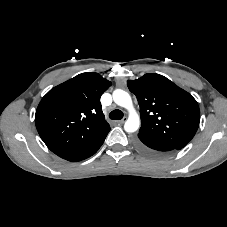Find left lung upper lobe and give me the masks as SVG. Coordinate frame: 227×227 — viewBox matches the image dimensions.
Returning <instances> with one entry per match:
<instances>
[{
    "label": "left lung upper lobe",
    "instance_id": "left-lung-upper-lobe-1",
    "mask_svg": "<svg viewBox=\"0 0 227 227\" xmlns=\"http://www.w3.org/2000/svg\"><path fill=\"white\" fill-rule=\"evenodd\" d=\"M127 85L140 106L138 137L167 144L177 150L190 142L200 122L199 106L191 94L168 78L154 73L128 80Z\"/></svg>",
    "mask_w": 227,
    "mask_h": 227
}]
</instances>
